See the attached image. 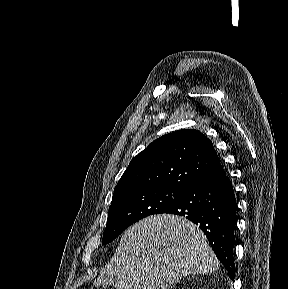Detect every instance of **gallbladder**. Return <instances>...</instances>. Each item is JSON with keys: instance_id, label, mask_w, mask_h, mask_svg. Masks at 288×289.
<instances>
[{"instance_id": "bac80fb5", "label": "gallbladder", "mask_w": 288, "mask_h": 289, "mask_svg": "<svg viewBox=\"0 0 288 289\" xmlns=\"http://www.w3.org/2000/svg\"><path fill=\"white\" fill-rule=\"evenodd\" d=\"M112 284H113V283L107 281V282H105L103 285H104V286H110V285H112Z\"/></svg>"}]
</instances>
